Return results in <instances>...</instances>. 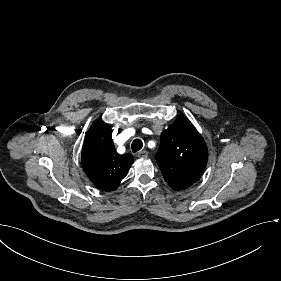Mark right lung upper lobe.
<instances>
[{
    "mask_svg": "<svg viewBox=\"0 0 281 281\" xmlns=\"http://www.w3.org/2000/svg\"><path fill=\"white\" fill-rule=\"evenodd\" d=\"M132 163V155L116 152L110 127L101 119L95 121L82 148V166L91 182L103 191H113L127 175Z\"/></svg>",
    "mask_w": 281,
    "mask_h": 281,
    "instance_id": "cb5924a9",
    "label": "right lung upper lobe"
}]
</instances>
